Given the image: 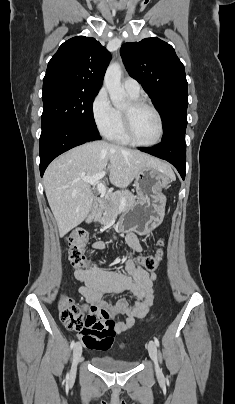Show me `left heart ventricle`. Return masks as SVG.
Masks as SVG:
<instances>
[{
  "instance_id": "obj_1",
  "label": "left heart ventricle",
  "mask_w": 235,
  "mask_h": 404,
  "mask_svg": "<svg viewBox=\"0 0 235 404\" xmlns=\"http://www.w3.org/2000/svg\"><path fill=\"white\" fill-rule=\"evenodd\" d=\"M128 105L124 107L127 109ZM133 133L135 138L143 143L156 140L159 125L156 115L148 108H141L133 114Z\"/></svg>"
}]
</instances>
